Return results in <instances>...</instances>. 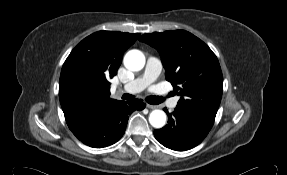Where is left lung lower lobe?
<instances>
[{
  "label": "left lung lower lobe",
  "mask_w": 287,
  "mask_h": 175,
  "mask_svg": "<svg viewBox=\"0 0 287 175\" xmlns=\"http://www.w3.org/2000/svg\"><path fill=\"white\" fill-rule=\"evenodd\" d=\"M168 115V124L154 131L155 138L165 147L175 151H186L200 144L209 131L200 127L185 113L174 110Z\"/></svg>",
  "instance_id": "obj_1"
}]
</instances>
